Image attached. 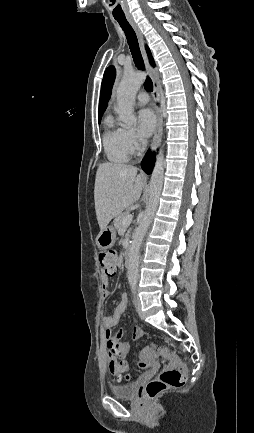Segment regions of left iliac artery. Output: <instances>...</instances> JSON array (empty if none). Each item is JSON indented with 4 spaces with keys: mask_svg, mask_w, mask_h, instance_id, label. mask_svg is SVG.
<instances>
[{
    "mask_svg": "<svg viewBox=\"0 0 254 433\" xmlns=\"http://www.w3.org/2000/svg\"><path fill=\"white\" fill-rule=\"evenodd\" d=\"M131 287H132V292H135V288H136V282H132L131 283Z\"/></svg>",
    "mask_w": 254,
    "mask_h": 433,
    "instance_id": "left-iliac-artery-1",
    "label": "left iliac artery"
}]
</instances>
